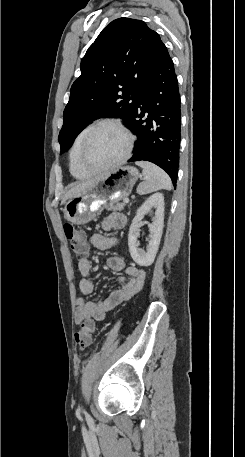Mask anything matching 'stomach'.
<instances>
[{
    "label": "stomach",
    "mask_w": 245,
    "mask_h": 457,
    "mask_svg": "<svg viewBox=\"0 0 245 457\" xmlns=\"http://www.w3.org/2000/svg\"><path fill=\"white\" fill-rule=\"evenodd\" d=\"M138 176L139 170L135 166H119L107 172L67 200L64 206L65 218L72 224H86L101 214L108 202H118L129 196Z\"/></svg>",
    "instance_id": "stomach-1"
}]
</instances>
